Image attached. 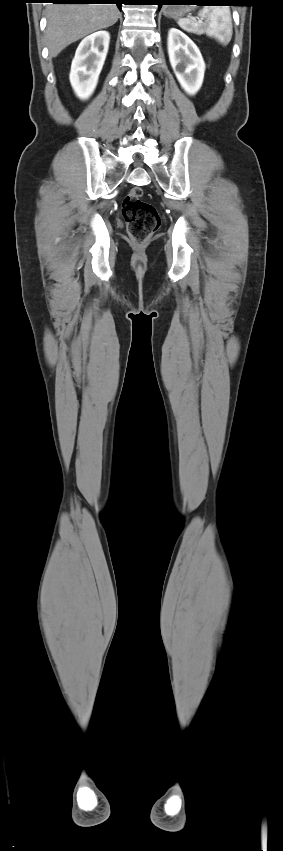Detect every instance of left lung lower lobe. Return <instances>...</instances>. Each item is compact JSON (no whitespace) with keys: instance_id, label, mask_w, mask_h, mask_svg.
<instances>
[{"instance_id":"left-lung-lower-lobe-1","label":"left lung lower lobe","mask_w":283,"mask_h":851,"mask_svg":"<svg viewBox=\"0 0 283 851\" xmlns=\"http://www.w3.org/2000/svg\"><path fill=\"white\" fill-rule=\"evenodd\" d=\"M191 1V2H189ZM154 2L158 5L159 9L162 5L168 3H196L198 5H211V4H219V5H229L228 3L231 0H154Z\"/></svg>"}]
</instances>
